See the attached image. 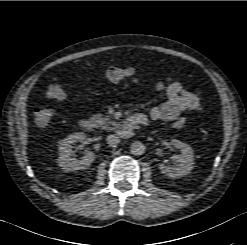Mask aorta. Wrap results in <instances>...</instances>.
I'll return each instance as SVG.
<instances>
[{"label":"aorta","instance_id":"1","mask_svg":"<svg viewBox=\"0 0 247 245\" xmlns=\"http://www.w3.org/2000/svg\"><path fill=\"white\" fill-rule=\"evenodd\" d=\"M130 152L135 156H140L145 152V145L140 141H135L130 145Z\"/></svg>","mask_w":247,"mask_h":245}]
</instances>
